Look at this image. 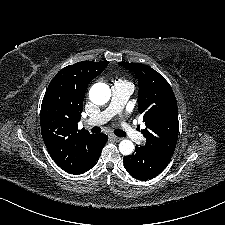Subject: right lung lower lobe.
Segmentation results:
<instances>
[{"label":"right lung lower lobe","instance_id":"right-lung-lower-lobe-1","mask_svg":"<svg viewBox=\"0 0 225 225\" xmlns=\"http://www.w3.org/2000/svg\"><path fill=\"white\" fill-rule=\"evenodd\" d=\"M107 135L101 133V134H97V140H98V148L97 151L94 153V155L92 156V158L89 160L87 166L84 168L83 171H81L79 174L84 173L85 171H88L89 169H91L97 162V160L100 157V154L102 152V149L104 147V145L107 142Z\"/></svg>","mask_w":225,"mask_h":225}]
</instances>
